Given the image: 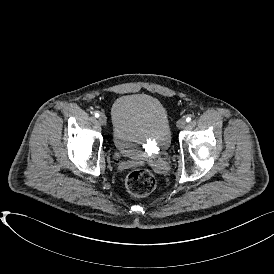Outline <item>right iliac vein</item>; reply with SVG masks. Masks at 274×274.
<instances>
[{
  "instance_id": "1",
  "label": "right iliac vein",
  "mask_w": 274,
  "mask_h": 274,
  "mask_svg": "<svg viewBox=\"0 0 274 274\" xmlns=\"http://www.w3.org/2000/svg\"><path fill=\"white\" fill-rule=\"evenodd\" d=\"M98 120L101 125H106V123H107V118L104 114L100 115Z\"/></svg>"
}]
</instances>
